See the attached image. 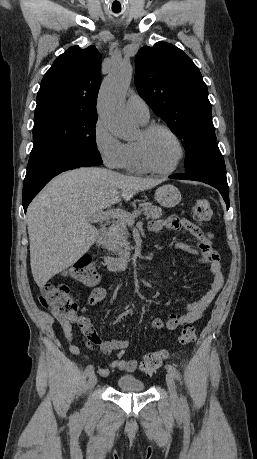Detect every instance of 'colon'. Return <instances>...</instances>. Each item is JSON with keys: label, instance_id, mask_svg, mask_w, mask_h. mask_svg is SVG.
I'll return each instance as SVG.
<instances>
[{"label": "colon", "instance_id": "colon-1", "mask_svg": "<svg viewBox=\"0 0 257 459\" xmlns=\"http://www.w3.org/2000/svg\"><path fill=\"white\" fill-rule=\"evenodd\" d=\"M196 221L208 222L212 217V209L208 199L197 200L193 209ZM70 277L78 283L91 286L97 283L98 274L91 259L80 258L68 271ZM39 302L42 306L49 308L60 320H71L76 316L77 303L70 296V289L66 284H46L41 287ZM196 339V330L193 326H186L179 335V342L188 345ZM164 351H155L147 354L142 362L141 369L152 374L158 370L166 358Z\"/></svg>", "mask_w": 257, "mask_h": 459}]
</instances>
